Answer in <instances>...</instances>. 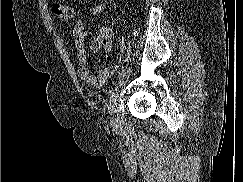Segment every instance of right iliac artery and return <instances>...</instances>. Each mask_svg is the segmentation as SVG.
Returning <instances> with one entry per match:
<instances>
[{
    "label": "right iliac artery",
    "instance_id": "1",
    "mask_svg": "<svg viewBox=\"0 0 243 182\" xmlns=\"http://www.w3.org/2000/svg\"><path fill=\"white\" fill-rule=\"evenodd\" d=\"M123 76H124V68H122V71L119 73L117 79L114 82V88H112L110 91V98H112L115 94V91H117L118 84L120 83Z\"/></svg>",
    "mask_w": 243,
    "mask_h": 182
}]
</instances>
